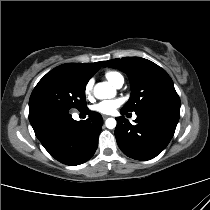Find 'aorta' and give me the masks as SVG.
<instances>
[{
    "mask_svg": "<svg viewBox=\"0 0 210 210\" xmlns=\"http://www.w3.org/2000/svg\"><path fill=\"white\" fill-rule=\"evenodd\" d=\"M115 90L112 86L106 82L96 84L94 88V95L97 99H107L115 96ZM108 129H114L116 127V120L114 118H108L105 122Z\"/></svg>",
    "mask_w": 210,
    "mask_h": 210,
    "instance_id": "1",
    "label": "aorta"
}]
</instances>
